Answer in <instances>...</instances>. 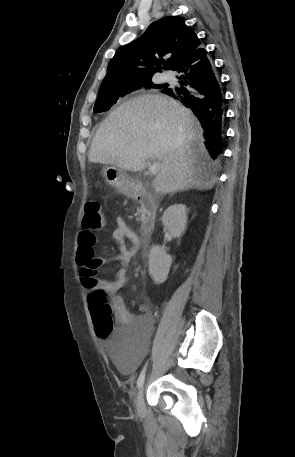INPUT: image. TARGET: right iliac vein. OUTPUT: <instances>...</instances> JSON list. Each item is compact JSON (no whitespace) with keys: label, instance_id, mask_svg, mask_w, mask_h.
Wrapping results in <instances>:
<instances>
[{"label":"right iliac vein","instance_id":"1","mask_svg":"<svg viewBox=\"0 0 295 457\" xmlns=\"http://www.w3.org/2000/svg\"><path fill=\"white\" fill-rule=\"evenodd\" d=\"M135 407L138 413H143L145 409V404H144V387L141 386L140 390L137 393L136 399H135Z\"/></svg>","mask_w":295,"mask_h":457}]
</instances>
